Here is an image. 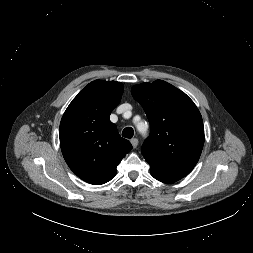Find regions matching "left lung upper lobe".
Returning a JSON list of instances; mask_svg holds the SVG:
<instances>
[{"instance_id":"1","label":"left lung upper lobe","mask_w":253,"mask_h":253,"mask_svg":"<svg viewBox=\"0 0 253 253\" xmlns=\"http://www.w3.org/2000/svg\"><path fill=\"white\" fill-rule=\"evenodd\" d=\"M131 93L150 123V136L142 147L150 170L179 179L187 176L204 145V126L196 105L162 80L135 85Z\"/></svg>"}]
</instances>
